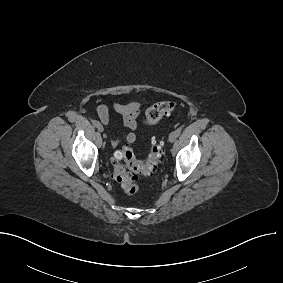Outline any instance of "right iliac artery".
<instances>
[{"label": "right iliac artery", "mask_w": 283, "mask_h": 283, "mask_svg": "<svg viewBox=\"0 0 283 283\" xmlns=\"http://www.w3.org/2000/svg\"><path fill=\"white\" fill-rule=\"evenodd\" d=\"M92 123L95 127H98L100 125V122L97 120H94Z\"/></svg>", "instance_id": "82829eb1"}]
</instances>
